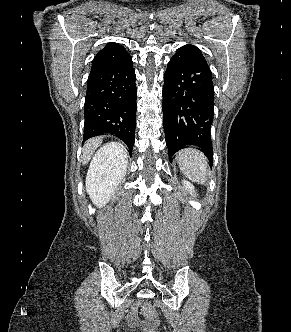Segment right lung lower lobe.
<instances>
[{
  "label": "right lung lower lobe",
  "mask_w": 291,
  "mask_h": 332,
  "mask_svg": "<svg viewBox=\"0 0 291 332\" xmlns=\"http://www.w3.org/2000/svg\"><path fill=\"white\" fill-rule=\"evenodd\" d=\"M135 81L130 56L91 68L84 105V141L110 133L120 137L132 152L137 110Z\"/></svg>",
  "instance_id": "1"
}]
</instances>
